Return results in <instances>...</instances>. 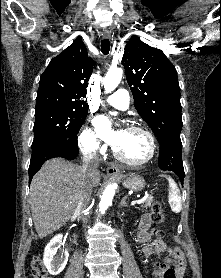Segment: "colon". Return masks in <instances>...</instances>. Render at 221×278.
<instances>
[{"label":"colon","mask_w":221,"mask_h":278,"mask_svg":"<svg viewBox=\"0 0 221 278\" xmlns=\"http://www.w3.org/2000/svg\"><path fill=\"white\" fill-rule=\"evenodd\" d=\"M151 221L158 225L164 220V213L159 202H154L150 210ZM32 278H51L45 269V266L40 257H35L31 264ZM164 278H176V272L173 269L164 271Z\"/></svg>","instance_id":"colon-1"}]
</instances>
